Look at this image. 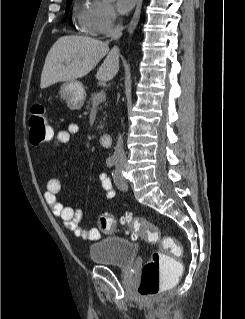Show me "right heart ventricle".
<instances>
[{"label": "right heart ventricle", "mask_w": 245, "mask_h": 319, "mask_svg": "<svg viewBox=\"0 0 245 319\" xmlns=\"http://www.w3.org/2000/svg\"><path fill=\"white\" fill-rule=\"evenodd\" d=\"M76 17L79 23L83 26L89 18V9H85L82 7L78 8Z\"/></svg>", "instance_id": "right-heart-ventricle-1"}]
</instances>
